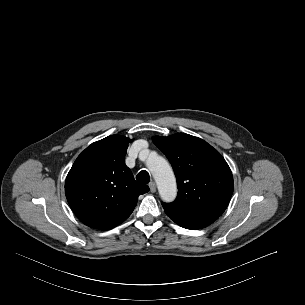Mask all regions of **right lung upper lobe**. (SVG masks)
Segmentation results:
<instances>
[{"mask_svg": "<svg viewBox=\"0 0 305 305\" xmlns=\"http://www.w3.org/2000/svg\"><path fill=\"white\" fill-rule=\"evenodd\" d=\"M131 142L111 135L91 144L75 160L65 181V194L74 214L85 225L109 230L133 212L138 196L149 191L135 181L124 157Z\"/></svg>", "mask_w": 305, "mask_h": 305, "instance_id": "cb5924a9", "label": "right lung upper lobe"}]
</instances>
